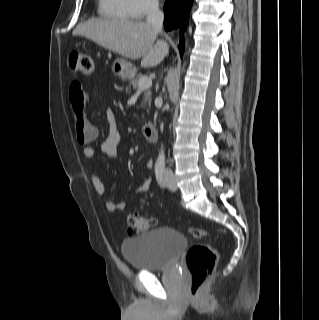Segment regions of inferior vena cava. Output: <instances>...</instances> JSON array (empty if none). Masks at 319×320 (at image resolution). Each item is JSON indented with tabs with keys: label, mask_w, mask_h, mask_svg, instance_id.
<instances>
[{
	"label": "inferior vena cava",
	"mask_w": 319,
	"mask_h": 320,
	"mask_svg": "<svg viewBox=\"0 0 319 320\" xmlns=\"http://www.w3.org/2000/svg\"><path fill=\"white\" fill-rule=\"evenodd\" d=\"M164 15L157 0H152L147 12V22L159 33L162 31ZM171 172V170H167Z\"/></svg>",
	"instance_id": "1"
}]
</instances>
